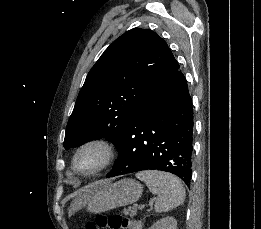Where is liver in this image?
<instances>
[{
	"label": "liver",
	"mask_w": 261,
	"mask_h": 229,
	"mask_svg": "<svg viewBox=\"0 0 261 229\" xmlns=\"http://www.w3.org/2000/svg\"><path fill=\"white\" fill-rule=\"evenodd\" d=\"M77 195H79V197H77L76 201H85L86 193H82V191H77Z\"/></svg>",
	"instance_id": "obj_1"
}]
</instances>
